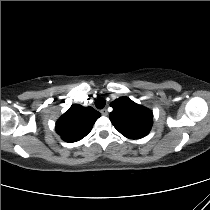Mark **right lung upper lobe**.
Listing matches in <instances>:
<instances>
[{
    "label": "right lung upper lobe",
    "mask_w": 210,
    "mask_h": 210,
    "mask_svg": "<svg viewBox=\"0 0 210 210\" xmlns=\"http://www.w3.org/2000/svg\"><path fill=\"white\" fill-rule=\"evenodd\" d=\"M100 113L92 107L74 104L56 123V132L66 142L84 138L92 129Z\"/></svg>",
    "instance_id": "obj_1"
}]
</instances>
